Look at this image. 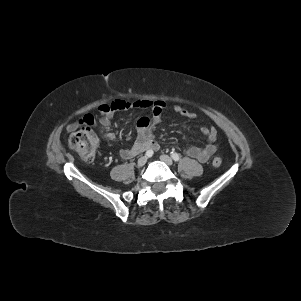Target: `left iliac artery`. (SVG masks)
Listing matches in <instances>:
<instances>
[{
    "mask_svg": "<svg viewBox=\"0 0 301 301\" xmlns=\"http://www.w3.org/2000/svg\"><path fill=\"white\" fill-rule=\"evenodd\" d=\"M171 157H172V159L174 160V161H179V159H180V156H179V154L178 153H176V152H172L171 153Z\"/></svg>",
    "mask_w": 301,
    "mask_h": 301,
    "instance_id": "left-iliac-artery-1",
    "label": "left iliac artery"
}]
</instances>
